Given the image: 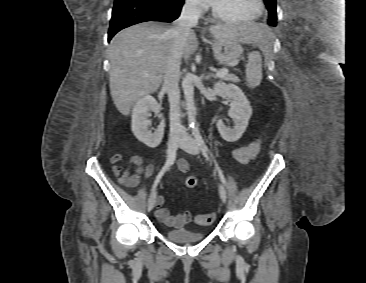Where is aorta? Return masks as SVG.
<instances>
[{
	"label": "aorta",
	"instance_id": "762f6f07",
	"mask_svg": "<svg viewBox=\"0 0 366 283\" xmlns=\"http://www.w3.org/2000/svg\"><path fill=\"white\" fill-rule=\"evenodd\" d=\"M194 81L191 74H187L182 81L184 96L186 99V107L188 110V120L191 126L196 125V106L194 103Z\"/></svg>",
	"mask_w": 366,
	"mask_h": 283
}]
</instances>
